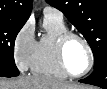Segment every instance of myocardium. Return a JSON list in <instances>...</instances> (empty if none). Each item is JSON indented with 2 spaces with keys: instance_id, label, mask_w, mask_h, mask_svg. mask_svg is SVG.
<instances>
[{
  "instance_id": "obj_1",
  "label": "myocardium",
  "mask_w": 107,
  "mask_h": 89,
  "mask_svg": "<svg viewBox=\"0 0 107 89\" xmlns=\"http://www.w3.org/2000/svg\"><path fill=\"white\" fill-rule=\"evenodd\" d=\"M73 38L80 40L84 44L89 55V64L87 68L82 73H79V74L71 73L67 67L66 60H65L66 46L68 42ZM56 56L61 69L67 75V77H70V78L83 77L86 74H88L94 66V53L89 42L84 36L73 31L67 30L58 36L56 41Z\"/></svg>"
}]
</instances>
